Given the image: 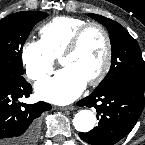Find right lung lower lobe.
<instances>
[{
    "mask_svg": "<svg viewBox=\"0 0 145 145\" xmlns=\"http://www.w3.org/2000/svg\"><path fill=\"white\" fill-rule=\"evenodd\" d=\"M32 87L22 75H0V145H35L39 137L38 117L50 110L45 102L25 104Z\"/></svg>",
    "mask_w": 145,
    "mask_h": 145,
    "instance_id": "right-lung-lower-lobe-1",
    "label": "right lung lower lobe"
}]
</instances>
